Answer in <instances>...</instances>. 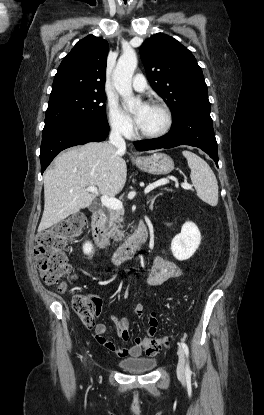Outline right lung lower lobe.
I'll use <instances>...</instances> for the list:
<instances>
[{"instance_id": "right-lung-lower-lobe-1", "label": "right lung lower lobe", "mask_w": 264, "mask_h": 415, "mask_svg": "<svg viewBox=\"0 0 264 415\" xmlns=\"http://www.w3.org/2000/svg\"><path fill=\"white\" fill-rule=\"evenodd\" d=\"M108 133L107 120H76L45 126L40 149L41 173L60 151L87 142L104 141Z\"/></svg>"}]
</instances>
